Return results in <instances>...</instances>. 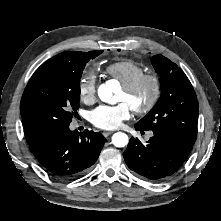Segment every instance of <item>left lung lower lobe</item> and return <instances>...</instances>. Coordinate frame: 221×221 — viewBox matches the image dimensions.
<instances>
[{
  "label": "left lung lower lobe",
  "mask_w": 221,
  "mask_h": 221,
  "mask_svg": "<svg viewBox=\"0 0 221 221\" xmlns=\"http://www.w3.org/2000/svg\"><path fill=\"white\" fill-rule=\"evenodd\" d=\"M135 128L145 131L136 125ZM153 133L147 145L138 138L130 139L123 157L129 169L135 173L152 181H162L180 169L193 145L168 134Z\"/></svg>",
  "instance_id": "left-lung-lower-lobe-1"
}]
</instances>
